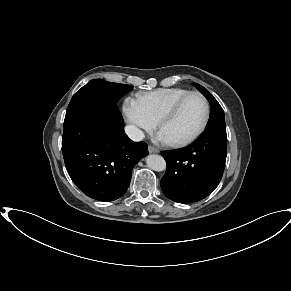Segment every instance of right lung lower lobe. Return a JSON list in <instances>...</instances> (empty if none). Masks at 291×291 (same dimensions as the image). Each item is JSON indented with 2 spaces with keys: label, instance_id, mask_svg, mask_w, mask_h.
<instances>
[{
  "label": "right lung lower lobe",
  "instance_id": "1",
  "mask_svg": "<svg viewBox=\"0 0 291 291\" xmlns=\"http://www.w3.org/2000/svg\"><path fill=\"white\" fill-rule=\"evenodd\" d=\"M117 105L85 120L64 121L62 152L75 185L87 196L113 201L129 187L132 168L148 154L147 144L133 142L123 131Z\"/></svg>",
  "mask_w": 291,
  "mask_h": 291
}]
</instances>
